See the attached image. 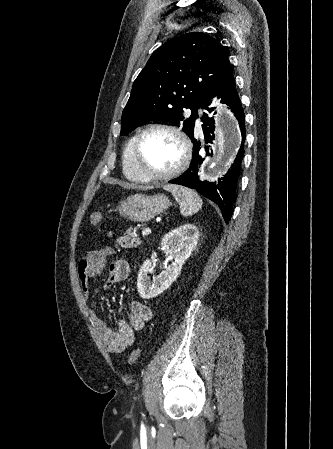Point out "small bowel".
I'll return each instance as SVG.
<instances>
[{
	"mask_svg": "<svg viewBox=\"0 0 333 449\" xmlns=\"http://www.w3.org/2000/svg\"><path fill=\"white\" fill-rule=\"evenodd\" d=\"M112 253L110 248H104L85 254L78 264V278L81 291L86 300L91 299L90 280L99 275L106 266L107 256ZM128 263L116 258L108 266V274L103 282L104 289H110L128 276ZM94 327L105 344L113 352H122L135 342V334L143 329L145 322L152 317L151 308L139 301H133L128 320L120 319L116 329L110 328L92 308L89 309Z\"/></svg>",
	"mask_w": 333,
	"mask_h": 449,
	"instance_id": "small-bowel-1",
	"label": "small bowel"
}]
</instances>
